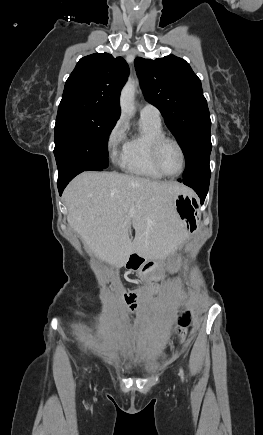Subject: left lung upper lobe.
<instances>
[{
	"instance_id": "left-lung-upper-lobe-1",
	"label": "left lung upper lobe",
	"mask_w": 263,
	"mask_h": 435,
	"mask_svg": "<svg viewBox=\"0 0 263 435\" xmlns=\"http://www.w3.org/2000/svg\"><path fill=\"white\" fill-rule=\"evenodd\" d=\"M145 99L156 106L180 144L185 176L209 165L211 120L201 81L189 64L174 55L134 61Z\"/></svg>"
}]
</instances>
